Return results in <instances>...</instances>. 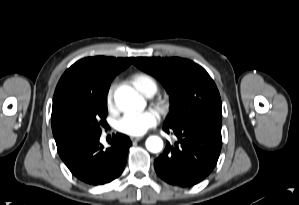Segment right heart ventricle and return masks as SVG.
Returning <instances> with one entry per match:
<instances>
[{"instance_id": "1", "label": "right heart ventricle", "mask_w": 299, "mask_h": 205, "mask_svg": "<svg viewBox=\"0 0 299 205\" xmlns=\"http://www.w3.org/2000/svg\"><path fill=\"white\" fill-rule=\"evenodd\" d=\"M134 87L142 94L148 95L157 91V83L153 77L145 73H137L131 77Z\"/></svg>"}]
</instances>
